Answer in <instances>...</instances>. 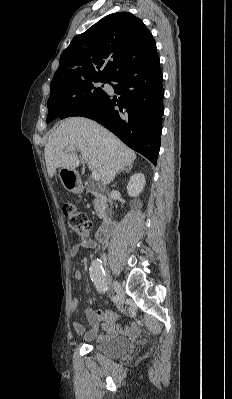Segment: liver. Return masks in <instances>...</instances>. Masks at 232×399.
<instances>
[{
	"label": "liver",
	"mask_w": 232,
	"mask_h": 399,
	"mask_svg": "<svg viewBox=\"0 0 232 399\" xmlns=\"http://www.w3.org/2000/svg\"><path fill=\"white\" fill-rule=\"evenodd\" d=\"M80 150L89 170H95L103 186L110 184L116 172L136 160V154L111 132L87 118H67L51 132L44 156L47 174L53 178L57 168L75 170L80 160L73 150Z\"/></svg>",
	"instance_id": "obj_1"
}]
</instances>
